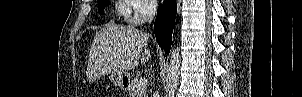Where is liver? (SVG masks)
Instances as JSON below:
<instances>
[{
    "label": "liver",
    "instance_id": "obj_1",
    "mask_svg": "<svg viewBox=\"0 0 302 97\" xmlns=\"http://www.w3.org/2000/svg\"><path fill=\"white\" fill-rule=\"evenodd\" d=\"M149 34L130 26H112L94 37L89 53V68L94 75L126 73L149 61ZM98 72V73H97ZM92 74V73H91Z\"/></svg>",
    "mask_w": 302,
    "mask_h": 97
}]
</instances>
